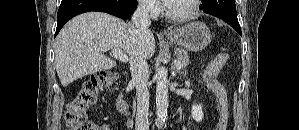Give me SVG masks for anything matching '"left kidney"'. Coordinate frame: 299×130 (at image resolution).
I'll list each match as a JSON object with an SVG mask.
<instances>
[{"mask_svg": "<svg viewBox=\"0 0 299 130\" xmlns=\"http://www.w3.org/2000/svg\"><path fill=\"white\" fill-rule=\"evenodd\" d=\"M191 114H192L193 119L196 122L202 121V119L204 117V114L202 111V105L201 104L193 105L192 109H191Z\"/></svg>", "mask_w": 299, "mask_h": 130, "instance_id": "5707ae66", "label": "left kidney"}]
</instances>
